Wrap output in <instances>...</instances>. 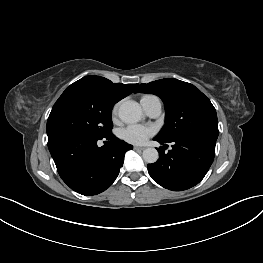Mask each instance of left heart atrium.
Instances as JSON below:
<instances>
[{"label": "left heart atrium", "instance_id": "1", "mask_svg": "<svg viewBox=\"0 0 263 263\" xmlns=\"http://www.w3.org/2000/svg\"><path fill=\"white\" fill-rule=\"evenodd\" d=\"M153 133L152 127L132 124L122 130L121 136L126 142L139 145L143 144Z\"/></svg>", "mask_w": 263, "mask_h": 263}]
</instances>
